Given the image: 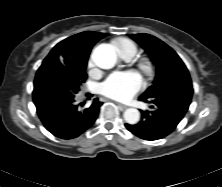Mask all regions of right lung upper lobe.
I'll list each match as a JSON object with an SVG mask.
<instances>
[{"instance_id": "right-lung-upper-lobe-1", "label": "right lung upper lobe", "mask_w": 222, "mask_h": 187, "mask_svg": "<svg viewBox=\"0 0 222 187\" xmlns=\"http://www.w3.org/2000/svg\"><path fill=\"white\" fill-rule=\"evenodd\" d=\"M105 36H107L106 33L94 31H85L73 35L58 43L44 61H52L58 57L88 60L90 51L94 44Z\"/></svg>"}]
</instances>
